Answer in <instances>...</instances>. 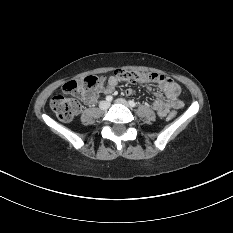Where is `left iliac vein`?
I'll return each instance as SVG.
<instances>
[{
    "label": "left iliac vein",
    "instance_id": "obj_1",
    "mask_svg": "<svg viewBox=\"0 0 233 233\" xmlns=\"http://www.w3.org/2000/svg\"><path fill=\"white\" fill-rule=\"evenodd\" d=\"M115 102L119 103V104H122V105H124L126 107H130L129 103L125 99H123V98H118V99H116Z\"/></svg>",
    "mask_w": 233,
    "mask_h": 233
}]
</instances>
